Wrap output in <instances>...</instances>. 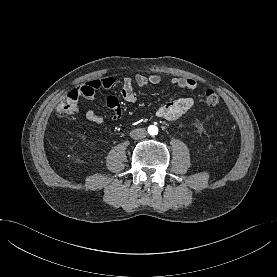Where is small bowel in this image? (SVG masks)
<instances>
[{
  "label": "small bowel",
  "instance_id": "small-bowel-1",
  "mask_svg": "<svg viewBox=\"0 0 277 277\" xmlns=\"http://www.w3.org/2000/svg\"><path fill=\"white\" fill-rule=\"evenodd\" d=\"M161 77L156 74H138L134 78L126 77L121 82L120 94L124 101L133 103L137 99L135 86L146 87L148 85H159ZM116 80L113 77H104L93 79L85 83L79 90L83 98L93 100L95 93L99 89H110L114 87ZM170 84L186 90L189 93H194L197 89V83L190 78L173 77L170 79ZM194 105V100L191 97H180L165 105L161 106L156 115L159 118L173 121L177 120L188 112ZM107 108L113 113L112 120H118L122 115L120 102L115 96H109L106 100ZM86 118L96 124H103L105 118L98 115L94 110L86 112Z\"/></svg>",
  "mask_w": 277,
  "mask_h": 277
}]
</instances>
